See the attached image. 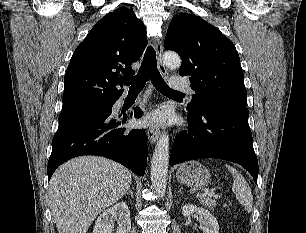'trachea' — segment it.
<instances>
[{
	"mask_svg": "<svg viewBox=\"0 0 306 233\" xmlns=\"http://www.w3.org/2000/svg\"><path fill=\"white\" fill-rule=\"evenodd\" d=\"M151 79L153 86L166 95L182 94L172 90L163 80L156 66V52L149 46L144 54L143 62L136 76L121 78L120 82L130 86L129 92H140L146 82Z\"/></svg>",
	"mask_w": 306,
	"mask_h": 233,
	"instance_id": "obj_1",
	"label": "trachea"
}]
</instances>
